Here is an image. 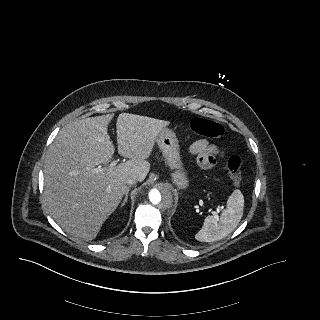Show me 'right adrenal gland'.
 <instances>
[{"label":"right adrenal gland","mask_w":320,"mask_h":320,"mask_svg":"<svg viewBox=\"0 0 320 320\" xmlns=\"http://www.w3.org/2000/svg\"><path fill=\"white\" fill-rule=\"evenodd\" d=\"M130 187L131 186H128V188H127V191H126V194H125V197H124V200H123V203L121 204V206H124L126 204V202H127L128 193H129Z\"/></svg>","instance_id":"2a0ac1e0"}]
</instances>
